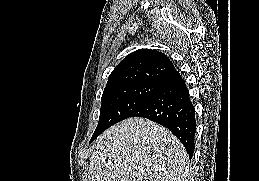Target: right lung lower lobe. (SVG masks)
<instances>
[{"label": "right lung lower lobe", "mask_w": 259, "mask_h": 181, "mask_svg": "<svg viewBox=\"0 0 259 181\" xmlns=\"http://www.w3.org/2000/svg\"><path fill=\"white\" fill-rule=\"evenodd\" d=\"M132 117H144L165 126L182 142L189 157H192L195 148V110L185 81L178 71L160 82L152 97ZM97 137L92 138L91 142Z\"/></svg>", "instance_id": "1"}]
</instances>
